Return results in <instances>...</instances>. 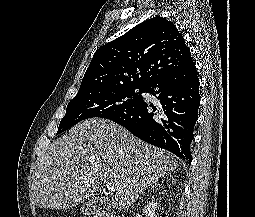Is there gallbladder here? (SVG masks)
I'll return each mask as SVG.
<instances>
[{
  "instance_id": "obj_1",
  "label": "gallbladder",
  "mask_w": 255,
  "mask_h": 217,
  "mask_svg": "<svg viewBox=\"0 0 255 217\" xmlns=\"http://www.w3.org/2000/svg\"><path fill=\"white\" fill-rule=\"evenodd\" d=\"M101 200L99 198L92 199L91 201L82 204L81 211L82 212H90L91 209L94 207H97L98 203H100Z\"/></svg>"
}]
</instances>
